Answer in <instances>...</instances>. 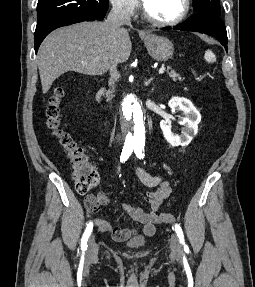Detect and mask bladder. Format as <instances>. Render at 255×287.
<instances>
[{"label":"bladder","instance_id":"obj_1","mask_svg":"<svg viewBox=\"0 0 255 287\" xmlns=\"http://www.w3.org/2000/svg\"><path fill=\"white\" fill-rule=\"evenodd\" d=\"M146 239L143 235H133L129 239L126 240L128 246L132 248H138L145 245Z\"/></svg>","mask_w":255,"mask_h":287}]
</instances>
